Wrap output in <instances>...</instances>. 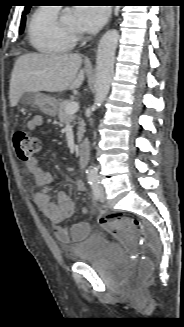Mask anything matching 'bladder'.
<instances>
[{"mask_svg": "<svg viewBox=\"0 0 184 327\" xmlns=\"http://www.w3.org/2000/svg\"><path fill=\"white\" fill-rule=\"evenodd\" d=\"M86 237L84 241L68 246V251L73 255L76 262L92 264L104 255H110L119 262L121 267L126 268L128 266V261L124 255L113 246L104 234L91 232Z\"/></svg>", "mask_w": 184, "mask_h": 327, "instance_id": "bladder-1", "label": "bladder"}]
</instances>
